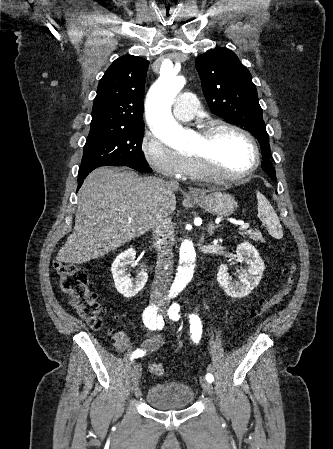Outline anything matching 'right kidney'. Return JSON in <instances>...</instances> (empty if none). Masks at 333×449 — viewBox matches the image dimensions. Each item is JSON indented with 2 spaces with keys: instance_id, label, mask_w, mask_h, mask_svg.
Masks as SVG:
<instances>
[{
  "instance_id": "obj_1",
  "label": "right kidney",
  "mask_w": 333,
  "mask_h": 449,
  "mask_svg": "<svg viewBox=\"0 0 333 449\" xmlns=\"http://www.w3.org/2000/svg\"><path fill=\"white\" fill-rule=\"evenodd\" d=\"M136 251L132 248L120 253L114 260L111 272L113 275L115 288L126 298L134 297L141 289L144 288L148 274L142 269L135 280L131 279L126 272L127 265L135 266Z\"/></svg>"
}]
</instances>
